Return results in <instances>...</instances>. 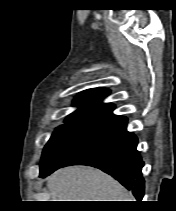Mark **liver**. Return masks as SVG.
I'll return each mask as SVG.
<instances>
[{"mask_svg": "<svg viewBox=\"0 0 176 211\" xmlns=\"http://www.w3.org/2000/svg\"><path fill=\"white\" fill-rule=\"evenodd\" d=\"M53 201H133L119 182L86 166L62 168L47 178Z\"/></svg>", "mask_w": 176, "mask_h": 211, "instance_id": "obj_1", "label": "liver"}]
</instances>
